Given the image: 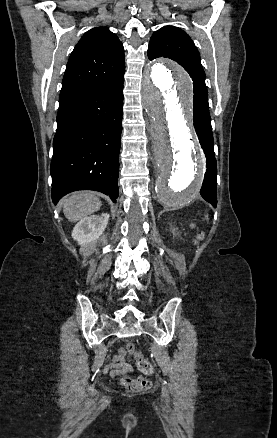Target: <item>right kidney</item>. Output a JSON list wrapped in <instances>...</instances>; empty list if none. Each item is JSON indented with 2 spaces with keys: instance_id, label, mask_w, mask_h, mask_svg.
Wrapping results in <instances>:
<instances>
[{
  "instance_id": "right-kidney-1",
  "label": "right kidney",
  "mask_w": 277,
  "mask_h": 438,
  "mask_svg": "<svg viewBox=\"0 0 277 438\" xmlns=\"http://www.w3.org/2000/svg\"><path fill=\"white\" fill-rule=\"evenodd\" d=\"M109 214H102V216H85L76 224L72 238L78 242L79 246H85L87 242L97 240L103 234L108 222Z\"/></svg>"
}]
</instances>
